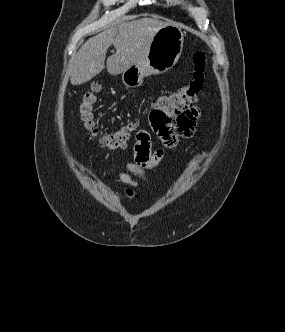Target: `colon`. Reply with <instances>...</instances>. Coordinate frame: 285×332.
<instances>
[{
	"label": "colon",
	"mask_w": 285,
	"mask_h": 332,
	"mask_svg": "<svg viewBox=\"0 0 285 332\" xmlns=\"http://www.w3.org/2000/svg\"><path fill=\"white\" fill-rule=\"evenodd\" d=\"M193 64L194 73L192 82L187 86L160 96L154 101L149 111H152L153 106H160L168 107L169 111H177L180 114L191 108L198 101L206 86L207 59L202 51H197L193 55ZM100 89V84L95 82L82 94L78 105L80 121L93 137L98 138L103 148L108 150L123 149L130 141L137 125L135 122H130L112 132L100 134L94 115L97 94Z\"/></svg>",
	"instance_id": "5ec220e1"
}]
</instances>
